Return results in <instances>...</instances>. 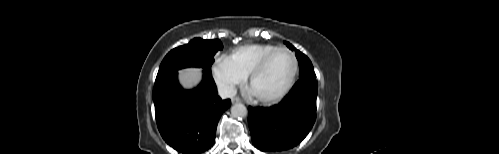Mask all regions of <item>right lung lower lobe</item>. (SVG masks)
I'll return each mask as SVG.
<instances>
[{
    "instance_id": "right-lung-lower-lobe-1",
    "label": "right lung lower lobe",
    "mask_w": 499,
    "mask_h": 154,
    "mask_svg": "<svg viewBox=\"0 0 499 154\" xmlns=\"http://www.w3.org/2000/svg\"><path fill=\"white\" fill-rule=\"evenodd\" d=\"M203 72L201 84L193 90L179 85L177 71L157 77L153 89L160 134L184 154H199L213 146L218 121L231 105L218 96L211 70Z\"/></svg>"
}]
</instances>
